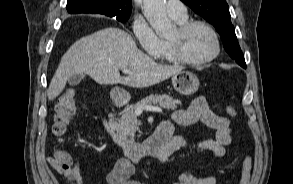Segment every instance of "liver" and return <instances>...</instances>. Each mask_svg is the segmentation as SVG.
<instances>
[{"label": "liver", "mask_w": 293, "mask_h": 184, "mask_svg": "<svg viewBox=\"0 0 293 184\" xmlns=\"http://www.w3.org/2000/svg\"><path fill=\"white\" fill-rule=\"evenodd\" d=\"M130 73L121 77L119 70ZM183 70L178 65H161L140 51L126 31L109 27L77 40L63 55L47 90L54 100L75 74H88L99 84L149 87Z\"/></svg>", "instance_id": "liver-1"}]
</instances>
